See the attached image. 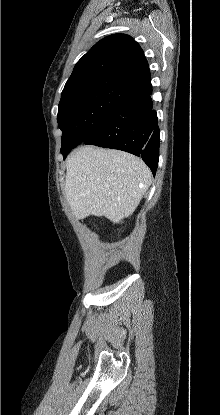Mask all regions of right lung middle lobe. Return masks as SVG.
Listing matches in <instances>:
<instances>
[{"mask_svg":"<svg viewBox=\"0 0 220 415\" xmlns=\"http://www.w3.org/2000/svg\"><path fill=\"white\" fill-rule=\"evenodd\" d=\"M139 87L118 78L92 79L62 91L57 121L61 149L74 148L94 134L111 111Z\"/></svg>","mask_w":220,"mask_h":415,"instance_id":"obj_1","label":"right lung middle lobe"}]
</instances>
